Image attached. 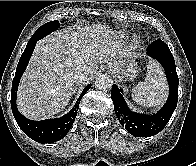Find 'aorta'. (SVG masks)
<instances>
[{
	"label": "aorta",
	"instance_id": "obj_1",
	"mask_svg": "<svg viewBox=\"0 0 196 166\" xmlns=\"http://www.w3.org/2000/svg\"><path fill=\"white\" fill-rule=\"evenodd\" d=\"M113 85L112 77L108 74H100L95 81V86L100 90L111 89Z\"/></svg>",
	"mask_w": 196,
	"mask_h": 166
}]
</instances>
